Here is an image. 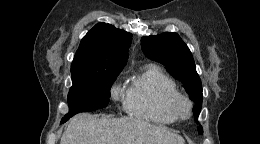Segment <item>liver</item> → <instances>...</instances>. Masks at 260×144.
Instances as JSON below:
<instances>
[{"instance_id": "1", "label": "liver", "mask_w": 260, "mask_h": 144, "mask_svg": "<svg viewBox=\"0 0 260 144\" xmlns=\"http://www.w3.org/2000/svg\"><path fill=\"white\" fill-rule=\"evenodd\" d=\"M166 127L142 119L78 114L61 137L60 144H184Z\"/></svg>"}]
</instances>
